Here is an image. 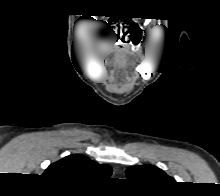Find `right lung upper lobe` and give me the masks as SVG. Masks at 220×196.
I'll return each instance as SVG.
<instances>
[{"label": "right lung upper lobe", "instance_id": "1", "mask_svg": "<svg viewBox=\"0 0 220 196\" xmlns=\"http://www.w3.org/2000/svg\"><path fill=\"white\" fill-rule=\"evenodd\" d=\"M111 172L112 168L108 165H101L85 156L74 154L51 164L43 175L71 184L95 185L108 179Z\"/></svg>", "mask_w": 220, "mask_h": 196}]
</instances>
